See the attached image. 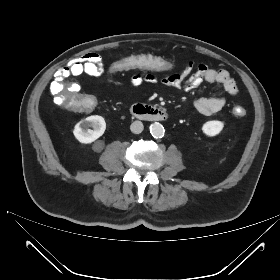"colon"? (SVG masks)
Segmentation results:
<instances>
[{"instance_id": "5ec220e1", "label": "colon", "mask_w": 280, "mask_h": 280, "mask_svg": "<svg viewBox=\"0 0 280 280\" xmlns=\"http://www.w3.org/2000/svg\"><path fill=\"white\" fill-rule=\"evenodd\" d=\"M139 69L143 73L158 71L172 73L176 69V64L174 61L169 60L166 57L160 58L156 55L129 54L126 57H121L112 61L109 65V70L113 74H118L124 70L136 73ZM68 74L69 71L65 68L60 69L51 85L52 99L54 103L58 106H62L71 113H86L96 109L99 105V100L96 96L90 94L78 96L81 91V86L78 82L71 80L62 82L61 77ZM233 113L238 117H242L245 115L246 111L243 107L236 106L233 109Z\"/></svg>"}]
</instances>
